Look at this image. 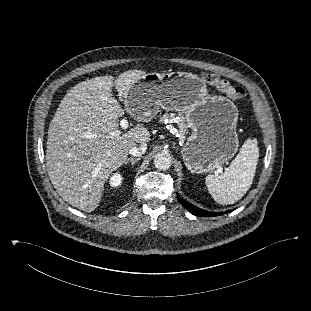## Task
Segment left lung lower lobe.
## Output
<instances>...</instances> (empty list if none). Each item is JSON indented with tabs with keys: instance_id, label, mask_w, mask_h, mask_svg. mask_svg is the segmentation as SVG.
<instances>
[{
	"instance_id": "1",
	"label": "left lung lower lobe",
	"mask_w": 311,
	"mask_h": 311,
	"mask_svg": "<svg viewBox=\"0 0 311 311\" xmlns=\"http://www.w3.org/2000/svg\"><path fill=\"white\" fill-rule=\"evenodd\" d=\"M177 199H178L179 203L183 205V207H185L189 212H191L193 215H196V216L206 217V216H218V215L223 214V212L210 213V212H207L205 210H202V209L182 200L179 196H177ZM227 212H229V211H227Z\"/></svg>"
}]
</instances>
